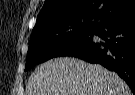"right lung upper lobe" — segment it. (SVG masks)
I'll use <instances>...</instances> for the list:
<instances>
[{
  "instance_id": "obj_1",
  "label": "right lung upper lobe",
  "mask_w": 135,
  "mask_h": 95,
  "mask_svg": "<svg viewBox=\"0 0 135 95\" xmlns=\"http://www.w3.org/2000/svg\"><path fill=\"white\" fill-rule=\"evenodd\" d=\"M135 15L134 0H45L32 36L93 30Z\"/></svg>"
}]
</instances>
